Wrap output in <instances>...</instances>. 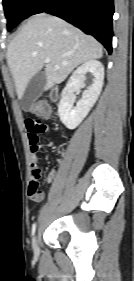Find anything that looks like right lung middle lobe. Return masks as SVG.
Instances as JSON below:
<instances>
[{
  "label": "right lung middle lobe",
  "instance_id": "right-lung-middle-lobe-1",
  "mask_svg": "<svg viewBox=\"0 0 134 281\" xmlns=\"http://www.w3.org/2000/svg\"><path fill=\"white\" fill-rule=\"evenodd\" d=\"M37 0H3L7 28L12 30L22 20L29 17V12Z\"/></svg>",
  "mask_w": 134,
  "mask_h": 281
}]
</instances>
